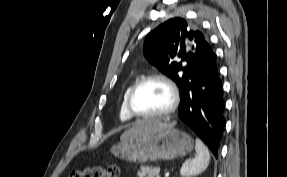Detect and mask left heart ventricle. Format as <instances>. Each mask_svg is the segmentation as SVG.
Listing matches in <instances>:
<instances>
[{"label":"left heart ventricle","instance_id":"left-heart-ventricle-1","mask_svg":"<svg viewBox=\"0 0 287 177\" xmlns=\"http://www.w3.org/2000/svg\"><path fill=\"white\" fill-rule=\"evenodd\" d=\"M170 103L168 88L156 80L141 86L133 98V106L141 114L161 113L169 107Z\"/></svg>","mask_w":287,"mask_h":177}]
</instances>
